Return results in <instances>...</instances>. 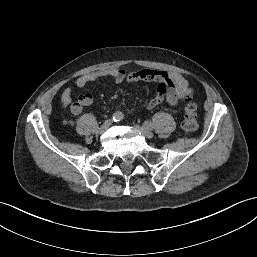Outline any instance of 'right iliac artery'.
<instances>
[{
	"instance_id": "1",
	"label": "right iliac artery",
	"mask_w": 257,
	"mask_h": 257,
	"mask_svg": "<svg viewBox=\"0 0 257 257\" xmlns=\"http://www.w3.org/2000/svg\"><path fill=\"white\" fill-rule=\"evenodd\" d=\"M123 117H124L123 113L118 111V112H116V113L113 114L112 120H113L114 122H118V121L122 120Z\"/></svg>"
}]
</instances>
